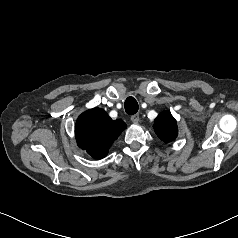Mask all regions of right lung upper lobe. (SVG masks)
<instances>
[{"label":"right lung upper lobe","instance_id":"cb5924a9","mask_svg":"<svg viewBox=\"0 0 238 238\" xmlns=\"http://www.w3.org/2000/svg\"><path fill=\"white\" fill-rule=\"evenodd\" d=\"M125 128L122 120H112L104 110L93 108L79 116L75 135L81 149L95 159H102Z\"/></svg>","mask_w":238,"mask_h":238}]
</instances>
